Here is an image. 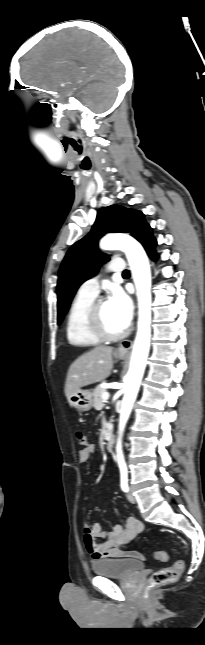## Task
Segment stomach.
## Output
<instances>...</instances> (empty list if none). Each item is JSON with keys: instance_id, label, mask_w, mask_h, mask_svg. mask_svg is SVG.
I'll return each instance as SVG.
<instances>
[{"instance_id": "stomach-1", "label": "stomach", "mask_w": 205, "mask_h": 645, "mask_svg": "<svg viewBox=\"0 0 205 645\" xmlns=\"http://www.w3.org/2000/svg\"><path fill=\"white\" fill-rule=\"evenodd\" d=\"M125 357L123 354H118V358L120 359H124ZM67 401L70 406L82 412L89 411L93 406V396L89 390L79 389L70 395Z\"/></svg>"}]
</instances>
